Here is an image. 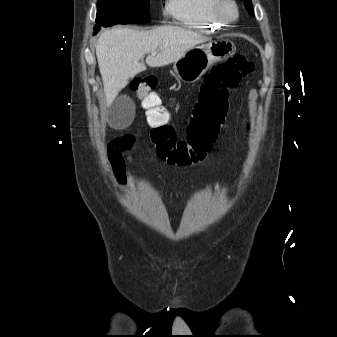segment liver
<instances>
[{"label": "liver", "instance_id": "6515ba94", "mask_svg": "<svg viewBox=\"0 0 337 337\" xmlns=\"http://www.w3.org/2000/svg\"><path fill=\"white\" fill-rule=\"evenodd\" d=\"M196 32L175 26L148 31L116 27L105 30L96 43V56L107 104H112L128 80L146 70L179 60L195 45L208 41ZM155 53V55H153Z\"/></svg>", "mask_w": 337, "mask_h": 337}]
</instances>
